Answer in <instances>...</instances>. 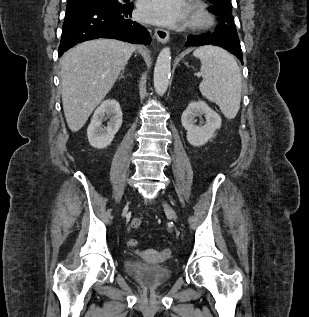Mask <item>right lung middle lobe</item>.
I'll return each mask as SVG.
<instances>
[{"label": "right lung middle lobe", "mask_w": 309, "mask_h": 317, "mask_svg": "<svg viewBox=\"0 0 309 317\" xmlns=\"http://www.w3.org/2000/svg\"><path fill=\"white\" fill-rule=\"evenodd\" d=\"M84 2L102 4L107 6L121 7L122 5L118 2V0H79Z\"/></svg>", "instance_id": "right-lung-middle-lobe-1"}]
</instances>
